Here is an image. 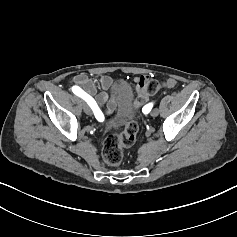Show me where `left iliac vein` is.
Instances as JSON below:
<instances>
[{
    "instance_id": "1",
    "label": "left iliac vein",
    "mask_w": 237,
    "mask_h": 237,
    "mask_svg": "<svg viewBox=\"0 0 237 237\" xmlns=\"http://www.w3.org/2000/svg\"><path fill=\"white\" fill-rule=\"evenodd\" d=\"M158 114H159L158 108L153 109L152 112H151V115H152L153 117L157 116Z\"/></svg>"
}]
</instances>
